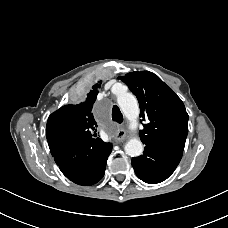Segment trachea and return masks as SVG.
I'll return each instance as SVG.
<instances>
[{
    "label": "trachea",
    "instance_id": "trachea-1",
    "mask_svg": "<svg viewBox=\"0 0 228 228\" xmlns=\"http://www.w3.org/2000/svg\"><path fill=\"white\" fill-rule=\"evenodd\" d=\"M112 120L117 123L123 122V115L117 105H114L112 108Z\"/></svg>",
    "mask_w": 228,
    "mask_h": 228
}]
</instances>
